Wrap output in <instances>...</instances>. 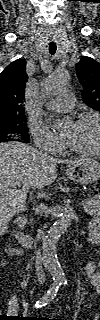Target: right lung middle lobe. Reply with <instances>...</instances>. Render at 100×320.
I'll list each match as a JSON object with an SVG mask.
<instances>
[{"instance_id": "obj_1", "label": "right lung middle lobe", "mask_w": 100, "mask_h": 320, "mask_svg": "<svg viewBox=\"0 0 100 320\" xmlns=\"http://www.w3.org/2000/svg\"><path fill=\"white\" fill-rule=\"evenodd\" d=\"M9 134H19L26 143L29 142L28 128L25 116L0 120V135L3 137L1 141H9V139H7L11 137V135Z\"/></svg>"}]
</instances>
